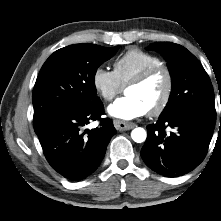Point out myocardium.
<instances>
[{"label":"myocardium","mask_w":221,"mask_h":221,"mask_svg":"<svg viewBox=\"0 0 221 221\" xmlns=\"http://www.w3.org/2000/svg\"><path fill=\"white\" fill-rule=\"evenodd\" d=\"M164 73L165 78H166V86L163 92V95L158 102L156 106L148 110L149 114L151 116H158L160 115L168 106L171 95L173 92V87H174V80H173V75L171 70L165 66V65H156L149 67L145 70H143L141 73L136 75L132 80L128 82L126 85V89L131 87V86H138L143 83H145L147 80H149L152 76H154L157 73Z\"/></svg>","instance_id":"myocardium-1"}]
</instances>
